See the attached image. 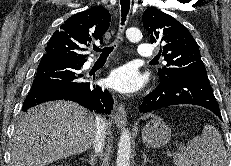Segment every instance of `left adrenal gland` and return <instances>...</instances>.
I'll return each mask as SVG.
<instances>
[{
  "label": "left adrenal gland",
  "instance_id": "left-adrenal-gland-1",
  "mask_svg": "<svg viewBox=\"0 0 231 166\" xmlns=\"http://www.w3.org/2000/svg\"><path fill=\"white\" fill-rule=\"evenodd\" d=\"M142 156H143L142 166H145L147 162H153L147 158V155L145 153H143Z\"/></svg>",
  "mask_w": 231,
  "mask_h": 166
}]
</instances>
